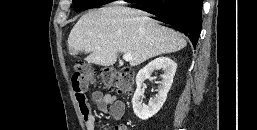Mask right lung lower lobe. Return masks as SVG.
Segmentation results:
<instances>
[{
    "label": "right lung lower lobe",
    "mask_w": 257,
    "mask_h": 130,
    "mask_svg": "<svg viewBox=\"0 0 257 130\" xmlns=\"http://www.w3.org/2000/svg\"><path fill=\"white\" fill-rule=\"evenodd\" d=\"M202 5L203 0H165L146 5L149 10L145 11L155 15L154 19L184 33L195 48L202 27Z\"/></svg>",
    "instance_id": "obj_1"
}]
</instances>
